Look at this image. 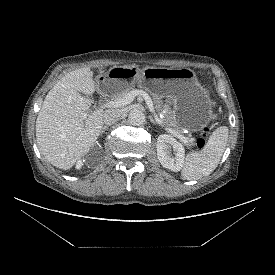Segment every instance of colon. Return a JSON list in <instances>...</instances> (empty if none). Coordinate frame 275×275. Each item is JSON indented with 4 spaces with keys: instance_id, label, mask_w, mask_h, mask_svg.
I'll return each instance as SVG.
<instances>
[{
    "instance_id": "1",
    "label": "colon",
    "mask_w": 275,
    "mask_h": 275,
    "mask_svg": "<svg viewBox=\"0 0 275 275\" xmlns=\"http://www.w3.org/2000/svg\"><path fill=\"white\" fill-rule=\"evenodd\" d=\"M211 128L209 126H206L203 128L201 135L197 138L196 145L198 149H202L205 145V137L210 132Z\"/></svg>"
}]
</instances>
